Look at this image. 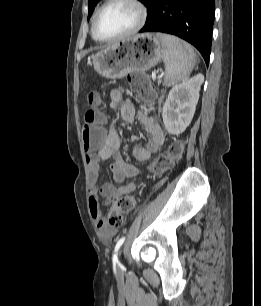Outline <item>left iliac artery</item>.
<instances>
[{"instance_id":"obj_1","label":"left iliac artery","mask_w":261,"mask_h":306,"mask_svg":"<svg viewBox=\"0 0 261 306\" xmlns=\"http://www.w3.org/2000/svg\"><path fill=\"white\" fill-rule=\"evenodd\" d=\"M125 241V237H122L118 240V242L116 243V246H115V249H114V253H113V257H112V260H113V263H116L118 262V258H117V251L119 250V248L122 246V244L124 243Z\"/></svg>"}]
</instances>
